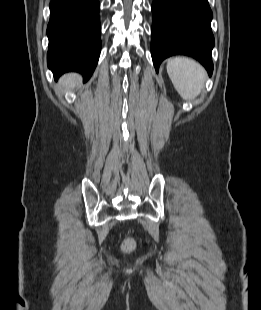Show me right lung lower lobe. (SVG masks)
Instances as JSON below:
<instances>
[{
  "label": "right lung lower lobe",
  "instance_id": "1",
  "mask_svg": "<svg viewBox=\"0 0 261 310\" xmlns=\"http://www.w3.org/2000/svg\"><path fill=\"white\" fill-rule=\"evenodd\" d=\"M99 8V0H51L47 64L56 79L77 71L87 81L94 72L101 51Z\"/></svg>",
  "mask_w": 261,
  "mask_h": 310
}]
</instances>
